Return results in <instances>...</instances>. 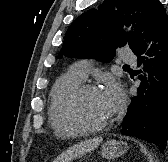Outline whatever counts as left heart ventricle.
I'll return each mask as SVG.
<instances>
[{
  "instance_id": "obj_1",
  "label": "left heart ventricle",
  "mask_w": 168,
  "mask_h": 162,
  "mask_svg": "<svg viewBox=\"0 0 168 162\" xmlns=\"http://www.w3.org/2000/svg\"><path fill=\"white\" fill-rule=\"evenodd\" d=\"M82 117L90 124H101L108 121L111 115L102 92H88L79 101Z\"/></svg>"
}]
</instances>
